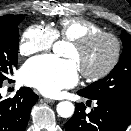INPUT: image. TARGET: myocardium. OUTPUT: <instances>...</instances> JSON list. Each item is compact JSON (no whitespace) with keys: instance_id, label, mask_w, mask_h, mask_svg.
Listing matches in <instances>:
<instances>
[{"instance_id":"obj_1","label":"myocardium","mask_w":131,"mask_h":131,"mask_svg":"<svg viewBox=\"0 0 131 131\" xmlns=\"http://www.w3.org/2000/svg\"><path fill=\"white\" fill-rule=\"evenodd\" d=\"M101 38L108 39L113 44V54L108 64L100 71L88 73L81 70L82 76L88 80H100L109 75L114 70L120 60L122 50L121 42L115 34L106 31L92 32L72 41L73 46H75L77 49H84L94 41Z\"/></svg>"}]
</instances>
